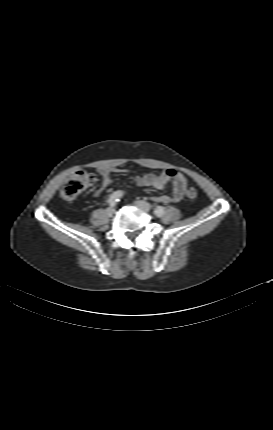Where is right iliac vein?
I'll return each mask as SVG.
<instances>
[{"label": "right iliac vein", "mask_w": 273, "mask_h": 430, "mask_svg": "<svg viewBox=\"0 0 273 430\" xmlns=\"http://www.w3.org/2000/svg\"><path fill=\"white\" fill-rule=\"evenodd\" d=\"M106 212H107V214L108 215H113L114 214V212H115V210H114V208H112V207H110V208H108L107 210H106Z\"/></svg>", "instance_id": "obj_1"}]
</instances>
